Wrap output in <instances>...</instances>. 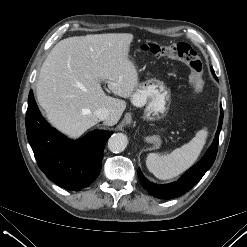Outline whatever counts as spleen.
<instances>
[{
	"label": "spleen",
	"instance_id": "spleen-1",
	"mask_svg": "<svg viewBox=\"0 0 247 247\" xmlns=\"http://www.w3.org/2000/svg\"><path fill=\"white\" fill-rule=\"evenodd\" d=\"M207 136V128H204L199 130L189 143L170 153H150L146 159L148 170L161 180L180 175L196 162L206 143Z\"/></svg>",
	"mask_w": 247,
	"mask_h": 247
}]
</instances>
